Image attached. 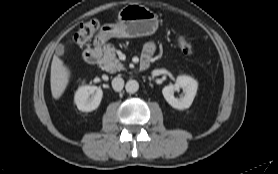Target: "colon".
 I'll use <instances>...</instances> for the list:
<instances>
[{
  "label": "colon",
  "instance_id": "5ec220e1",
  "mask_svg": "<svg viewBox=\"0 0 278 174\" xmlns=\"http://www.w3.org/2000/svg\"><path fill=\"white\" fill-rule=\"evenodd\" d=\"M98 28H99V23L96 20H90V21L82 24L78 28L76 33L73 35L72 40H71L72 43L79 45V46L86 45L91 40V38L93 37L95 32L98 30ZM179 45H180L182 51H184V53H186V54H192L194 52L193 44L184 35H181L179 37Z\"/></svg>",
  "mask_w": 278,
  "mask_h": 174
}]
</instances>
